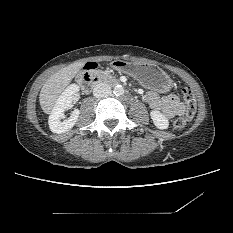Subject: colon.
Masks as SVG:
<instances>
[{"mask_svg": "<svg viewBox=\"0 0 233 233\" xmlns=\"http://www.w3.org/2000/svg\"><path fill=\"white\" fill-rule=\"evenodd\" d=\"M100 67L97 63L86 64L84 69L86 70H94ZM182 98L185 103V112L182 116L176 118L174 120V127L178 130L183 129L187 122L193 117L196 109V97L193 91L186 87L182 89Z\"/></svg>", "mask_w": 233, "mask_h": 233, "instance_id": "colon-1", "label": "colon"}]
</instances>
